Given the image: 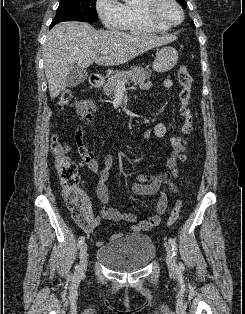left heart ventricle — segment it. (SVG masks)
Segmentation results:
<instances>
[{
	"label": "left heart ventricle",
	"instance_id": "left-heart-ventricle-1",
	"mask_svg": "<svg viewBox=\"0 0 245 314\" xmlns=\"http://www.w3.org/2000/svg\"><path fill=\"white\" fill-rule=\"evenodd\" d=\"M160 14L166 20L178 23L181 20V14L174 4L165 1L160 6Z\"/></svg>",
	"mask_w": 245,
	"mask_h": 314
}]
</instances>
